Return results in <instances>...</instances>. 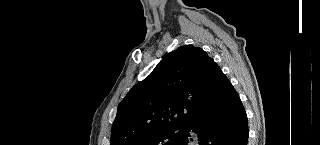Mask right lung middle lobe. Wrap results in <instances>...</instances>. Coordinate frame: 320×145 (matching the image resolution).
Listing matches in <instances>:
<instances>
[{
  "mask_svg": "<svg viewBox=\"0 0 320 145\" xmlns=\"http://www.w3.org/2000/svg\"><path fill=\"white\" fill-rule=\"evenodd\" d=\"M184 135V127H171L152 132L131 145H177Z\"/></svg>",
  "mask_w": 320,
  "mask_h": 145,
  "instance_id": "right-lung-middle-lobe-1",
  "label": "right lung middle lobe"
}]
</instances>
